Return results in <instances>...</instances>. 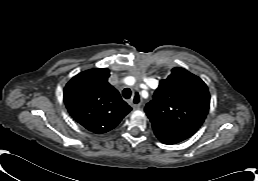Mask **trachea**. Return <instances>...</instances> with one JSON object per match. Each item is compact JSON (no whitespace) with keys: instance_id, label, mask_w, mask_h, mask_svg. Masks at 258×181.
<instances>
[{"instance_id":"1","label":"trachea","mask_w":258,"mask_h":181,"mask_svg":"<svg viewBox=\"0 0 258 181\" xmlns=\"http://www.w3.org/2000/svg\"><path fill=\"white\" fill-rule=\"evenodd\" d=\"M131 90L129 88H125L123 91H122V95L125 99H129L131 97Z\"/></svg>"}]
</instances>
